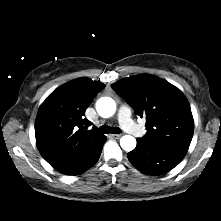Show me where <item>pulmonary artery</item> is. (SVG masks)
<instances>
[{
    "mask_svg": "<svg viewBox=\"0 0 221 221\" xmlns=\"http://www.w3.org/2000/svg\"><path fill=\"white\" fill-rule=\"evenodd\" d=\"M118 121L122 128L134 136H141L142 130L131 119V111L127 106H121L118 111Z\"/></svg>",
    "mask_w": 221,
    "mask_h": 221,
    "instance_id": "pulmonary-artery-1",
    "label": "pulmonary artery"
}]
</instances>
